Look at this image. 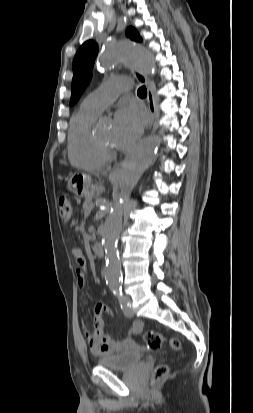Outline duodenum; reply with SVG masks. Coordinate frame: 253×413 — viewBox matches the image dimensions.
Masks as SVG:
<instances>
[{"instance_id":"duodenum-1","label":"duodenum","mask_w":253,"mask_h":413,"mask_svg":"<svg viewBox=\"0 0 253 413\" xmlns=\"http://www.w3.org/2000/svg\"><path fill=\"white\" fill-rule=\"evenodd\" d=\"M92 250L94 254L98 257L104 256V247L100 243H96L93 245Z\"/></svg>"}]
</instances>
